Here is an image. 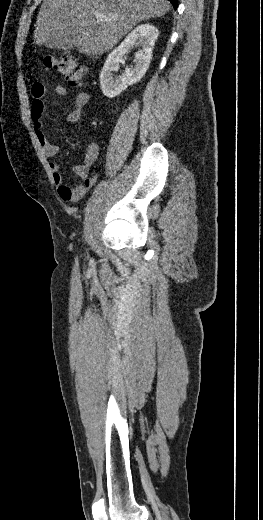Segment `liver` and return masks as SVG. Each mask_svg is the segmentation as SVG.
<instances>
[{
    "mask_svg": "<svg viewBox=\"0 0 263 520\" xmlns=\"http://www.w3.org/2000/svg\"><path fill=\"white\" fill-rule=\"evenodd\" d=\"M170 9L167 0H43L38 13L34 39L48 46L49 37L80 32L74 42L80 53L101 55L138 23L162 17ZM117 16L115 20H96L95 13Z\"/></svg>",
    "mask_w": 263,
    "mask_h": 520,
    "instance_id": "obj_1",
    "label": "liver"
}]
</instances>
